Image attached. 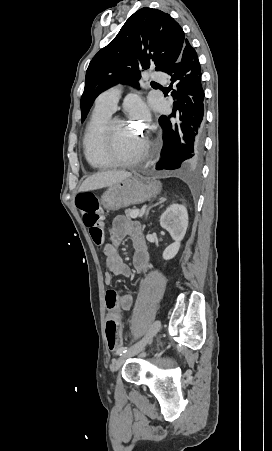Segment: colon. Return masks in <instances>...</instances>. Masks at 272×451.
Masks as SVG:
<instances>
[{
    "label": "colon",
    "instance_id": "1",
    "mask_svg": "<svg viewBox=\"0 0 272 451\" xmlns=\"http://www.w3.org/2000/svg\"><path fill=\"white\" fill-rule=\"evenodd\" d=\"M75 203L81 211L84 224L90 228L92 240L100 244L103 240V231L99 226V221L102 219L99 198L92 193H82L76 196ZM105 339L107 348L110 351L121 346L122 341L119 338V324L115 319L106 318Z\"/></svg>",
    "mask_w": 272,
    "mask_h": 451
}]
</instances>
